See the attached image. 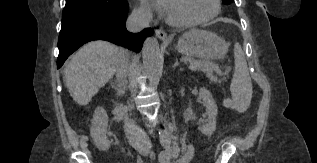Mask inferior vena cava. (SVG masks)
Returning <instances> with one entry per match:
<instances>
[{
  "label": "inferior vena cava",
  "instance_id": "obj_1",
  "mask_svg": "<svg viewBox=\"0 0 317 163\" xmlns=\"http://www.w3.org/2000/svg\"><path fill=\"white\" fill-rule=\"evenodd\" d=\"M151 15L147 11L137 10L133 11L128 17L126 27L130 32L137 33L149 26ZM128 59L126 51L119 56L116 65V76L119 82V94L123 93L126 87ZM121 118L124 119V131L129 144L134 147L140 154L148 155L150 153L152 144L146 133L139 128L135 122L128 117L126 111L120 113Z\"/></svg>",
  "mask_w": 317,
  "mask_h": 163
}]
</instances>
